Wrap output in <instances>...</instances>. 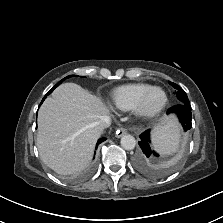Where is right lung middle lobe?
I'll return each mask as SVG.
<instances>
[{
  "label": "right lung middle lobe",
  "instance_id": "obj_1",
  "mask_svg": "<svg viewBox=\"0 0 223 223\" xmlns=\"http://www.w3.org/2000/svg\"><path fill=\"white\" fill-rule=\"evenodd\" d=\"M72 76H74V75H70V76H67V77H65L64 79H62L60 82H58L47 94H46V96L47 95H49L57 86H59V84L61 83V82H63L65 79H67V78H70V77H72Z\"/></svg>",
  "mask_w": 223,
  "mask_h": 223
}]
</instances>
